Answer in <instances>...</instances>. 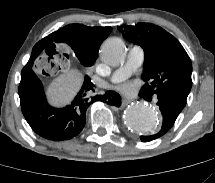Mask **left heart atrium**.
I'll return each mask as SVG.
<instances>
[{
	"instance_id": "1",
	"label": "left heart atrium",
	"mask_w": 215,
	"mask_h": 183,
	"mask_svg": "<svg viewBox=\"0 0 215 183\" xmlns=\"http://www.w3.org/2000/svg\"><path fill=\"white\" fill-rule=\"evenodd\" d=\"M119 89L126 94H131L134 91V86L131 83H125L122 84Z\"/></svg>"
}]
</instances>
